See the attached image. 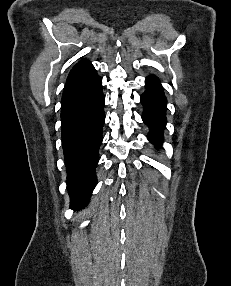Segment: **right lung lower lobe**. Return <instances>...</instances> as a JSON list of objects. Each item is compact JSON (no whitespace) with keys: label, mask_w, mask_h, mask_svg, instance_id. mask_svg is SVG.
Masks as SVG:
<instances>
[{"label":"right lung lower lobe","mask_w":231,"mask_h":286,"mask_svg":"<svg viewBox=\"0 0 231 286\" xmlns=\"http://www.w3.org/2000/svg\"><path fill=\"white\" fill-rule=\"evenodd\" d=\"M62 143L71 208L84 207L96 186L105 121L102 80L96 71L67 80L62 95Z\"/></svg>","instance_id":"obj_1"}]
</instances>
